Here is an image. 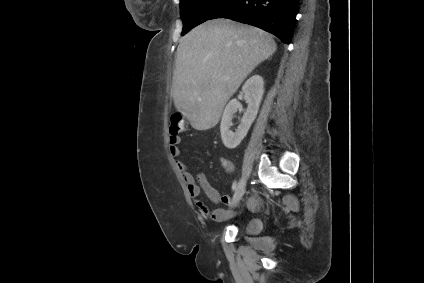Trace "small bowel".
Instances as JSON below:
<instances>
[{
	"mask_svg": "<svg viewBox=\"0 0 424 283\" xmlns=\"http://www.w3.org/2000/svg\"><path fill=\"white\" fill-rule=\"evenodd\" d=\"M180 142L181 138L179 136H170L169 149L174 157H178L180 155ZM219 161L227 174L231 175L234 173L235 166L230 160L221 157ZM177 166L182 173L191 198L195 202V205L202 215L209 217L213 221H222L230 216L229 211L223 208H217L214 210L209 209L201 199V192H203L205 196L213 203L223 202L224 204H230V196H221L219 192L211 185L207 176L203 172H198L196 175H194L190 172L188 166L181 161H177ZM248 203L250 206H255L257 204V200L255 197H250Z\"/></svg>",
	"mask_w": 424,
	"mask_h": 283,
	"instance_id": "1",
	"label": "small bowel"
}]
</instances>
